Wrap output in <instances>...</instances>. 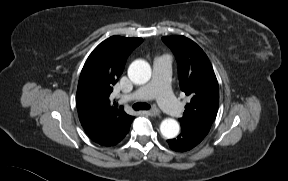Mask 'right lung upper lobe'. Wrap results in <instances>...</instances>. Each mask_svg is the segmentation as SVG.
Masks as SVG:
<instances>
[{
	"label": "right lung upper lobe",
	"instance_id": "1",
	"mask_svg": "<svg viewBox=\"0 0 288 181\" xmlns=\"http://www.w3.org/2000/svg\"><path fill=\"white\" fill-rule=\"evenodd\" d=\"M141 42V38L112 36L93 50L82 69L76 95L78 115L86 133L100 145L120 142L134 119L111 102L110 94L128 55Z\"/></svg>",
	"mask_w": 288,
	"mask_h": 181
}]
</instances>
